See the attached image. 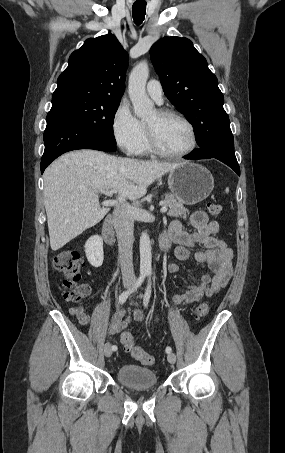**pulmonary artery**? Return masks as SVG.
<instances>
[{
  "label": "pulmonary artery",
  "instance_id": "e3ab8cb5",
  "mask_svg": "<svg viewBox=\"0 0 285 453\" xmlns=\"http://www.w3.org/2000/svg\"><path fill=\"white\" fill-rule=\"evenodd\" d=\"M147 94L156 103L161 104L163 102V89L158 80H150L147 84Z\"/></svg>",
  "mask_w": 285,
  "mask_h": 453
}]
</instances>
